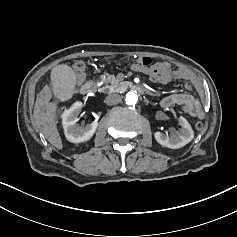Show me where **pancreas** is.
I'll return each mask as SVG.
<instances>
[{
    "label": "pancreas",
    "mask_w": 237,
    "mask_h": 237,
    "mask_svg": "<svg viewBox=\"0 0 237 237\" xmlns=\"http://www.w3.org/2000/svg\"><path fill=\"white\" fill-rule=\"evenodd\" d=\"M105 82L107 83L106 87H103L101 89V92H105L106 90H108V92L114 91V88L116 86H118L117 81L115 80V76H109L108 78L105 79Z\"/></svg>",
    "instance_id": "obj_1"
}]
</instances>
